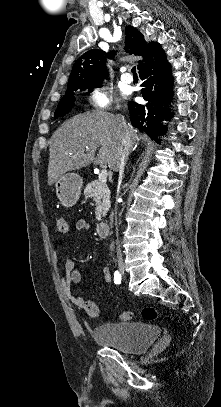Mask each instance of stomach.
I'll return each instance as SVG.
<instances>
[{
    "label": "stomach",
    "instance_id": "stomach-1",
    "mask_svg": "<svg viewBox=\"0 0 221 407\" xmlns=\"http://www.w3.org/2000/svg\"><path fill=\"white\" fill-rule=\"evenodd\" d=\"M83 181L74 172L65 173L55 182V190L61 204L67 208L74 206L80 198Z\"/></svg>",
    "mask_w": 221,
    "mask_h": 407
}]
</instances>
